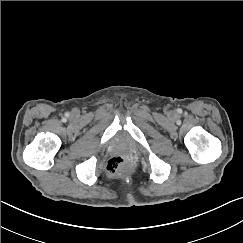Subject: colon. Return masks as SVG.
Here are the masks:
<instances>
[{
    "mask_svg": "<svg viewBox=\"0 0 243 243\" xmlns=\"http://www.w3.org/2000/svg\"><path fill=\"white\" fill-rule=\"evenodd\" d=\"M130 167V160L123 156H115L111 158L107 163V171L111 176L119 175L127 171Z\"/></svg>",
    "mask_w": 243,
    "mask_h": 243,
    "instance_id": "colon-1",
    "label": "colon"
}]
</instances>
